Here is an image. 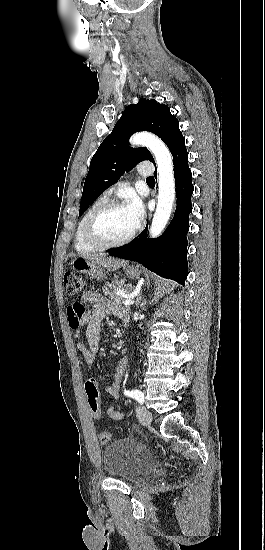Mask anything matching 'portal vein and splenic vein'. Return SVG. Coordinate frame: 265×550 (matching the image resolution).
I'll use <instances>...</instances> for the list:
<instances>
[{
  "instance_id": "portal-vein-and-splenic-vein-1",
  "label": "portal vein and splenic vein",
  "mask_w": 265,
  "mask_h": 550,
  "mask_svg": "<svg viewBox=\"0 0 265 550\" xmlns=\"http://www.w3.org/2000/svg\"><path fill=\"white\" fill-rule=\"evenodd\" d=\"M122 303L125 306L132 305L134 303V300L132 299V296H126L125 299L122 300Z\"/></svg>"
}]
</instances>
